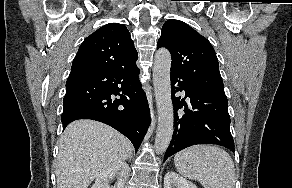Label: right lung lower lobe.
I'll return each mask as SVG.
<instances>
[{"label":"right lung lower lobe","mask_w":292,"mask_h":188,"mask_svg":"<svg viewBox=\"0 0 292 188\" xmlns=\"http://www.w3.org/2000/svg\"><path fill=\"white\" fill-rule=\"evenodd\" d=\"M139 72L137 66L72 70L63 99V129L78 119L100 121L125 135L137 151L151 121L148 102L138 79Z\"/></svg>","instance_id":"right-lung-lower-lobe-1"}]
</instances>
